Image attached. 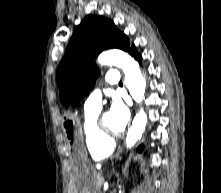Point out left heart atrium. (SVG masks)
<instances>
[{
	"label": "left heart atrium",
	"mask_w": 221,
	"mask_h": 193,
	"mask_svg": "<svg viewBox=\"0 0 221 193\" xmlns=\"http://www.w3.org/2000/svg\"><path fill=\"white\" fill-rule=\"evenodd\" d=\"M110 115L118 131L121 132L130 119V110L120 98H114L110 108Z\"/></svg>",
	"instance_id": "1"
}]
</instances>
